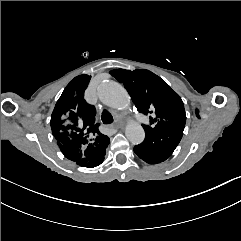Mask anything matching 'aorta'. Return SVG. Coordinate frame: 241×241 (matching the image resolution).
Segmentation results:
<instances>
[{
	"mask_svg": "<svg viewBox=\"0 0 241 241\" xmlns=\"http://www.w3.org/2000/svg\"><path fill=\"white\" fill-rule=\"evenodd\" d=\"M97 91L101 101L109 107L122 110L127 108L130 103L127 91L117 82H103L98 86ZM125 134L127 139L133 144H140L145 138L143 127L135 121L127 124Z\"/></svg>",
	"mask_w": 241,
	"mask_h": 241,
	"instance_id": "1",
	"label": "aorta"
}]
</instances>
